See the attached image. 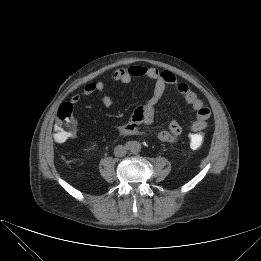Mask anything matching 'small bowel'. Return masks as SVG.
<instances>
[{"label": "small bowel", "mask_w": 261, "mask_h": 261, "mask_svg": "<svg viewBox=\"0 0 261 261\" xmlns=\"http://www.w3.org/2000/svg\"><path fill=\"white\" fill-rule=\"evenodd\" d=\"M137 77H147L154 81L153 94L148 97L142 105L137 107L132 113L130 119L118 127V131L123 136L140 135V125H150L154 121L155 108L162 98L166 88L173 86L185 101L196 113V119L193 121L191 132L203 131L208 126L211 117V111L206 107L198 95L192 91L185 83L177 80L175 75L169 71H161L157 68H148L140 65H133L127 68L116 69L111 78L113 81L128 84ZM98 93L101 96L102 104L109 108L112 105V99L106 92V85L103 81H92L84 85L83 95L90 96ZM81 97L75 94L71 97V104H77ZM182 134V127L178 121L172 120L167 129L158 133L157 137L162 142H177Z\"/></svg>", "instance_id": "small-bowel-1"}]
</instances>
